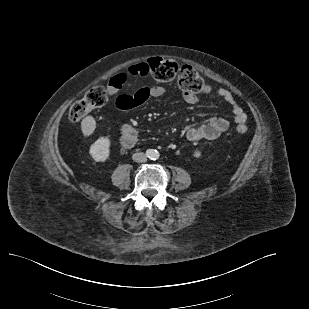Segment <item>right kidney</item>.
I'll return each mask as SVG.
<instances>
[{"label": "right kidney", "mask_w": 309, "mask_h": 309, "mask_svg": "<svg viewBox=\"0 0 309 309\" xmlns=\"http://www.w3.org/2000/svg\"><path fill=\"white\" fill-rule=\"evenodd\" d=\"M110 140L106 137L97 139L89 149V154L96 162H105L110 155Z\"/></svg>", "instance_id": "ca27d5eb"}]
</instances>
